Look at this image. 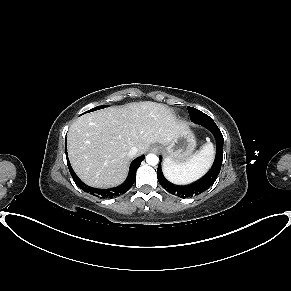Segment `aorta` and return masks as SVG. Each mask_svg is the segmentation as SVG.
Masks as SVG:
<instances>
[{
  "mask_svg": "<svg viewBox=\"0 0 291 291\" xmlns=\"http://www.w3.org/2000/svg\"><path fill=\"white\" fill-rule=\"evenodd\" d=\"M158 161H159V159H158L157 155H155V154H148L146 156V162L149 165L155 166L158 164Z\"/></svg>",
  "mask_w": 291,
  "mask_h": 291,
  "instance_id": "obj_1",
  "label": "aorta"
}]
</instances>
